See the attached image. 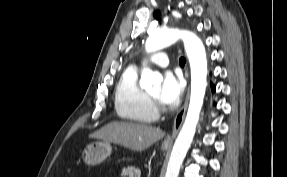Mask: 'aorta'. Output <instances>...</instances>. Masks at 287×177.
Here are the masks:
<instances>
[{"label": "aorta", "instance_id": "1", "mask_svg": "<svg viewBox=\"0 0 287 177\" xmlns=\"http://www.w3.org/2000/svg\"><path fill=\"white\" fill-rule=\"evenodd\" d=\"M182 39L191 69V95L184 124L174 143L165 177H178L181 165L193 141L196 126L207 86V58L205 47L193 32L179 29H165L153 32L147 39L145 48L148 53L167 47ZM162 76L150 69H143L140 86L149 90L159 85Z\"/></svg>", "mask_w": 287, "mask_h": 177}]
</instances>
